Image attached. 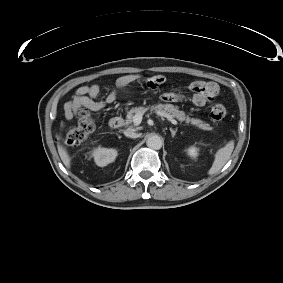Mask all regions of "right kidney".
<instances>
[{
    "instance_id": "ca27d5eb",
    "label": "right kidney",
    "mask_w": 283,
    "mask_h": 283,
    "mask_svg": "<svg viewBox=\"0 0 283 283\" xmlns=\"http://www.w3.org/2000/svg\"><path fill=\"white\" fill-rule=\"evenodd\" d=\"M92 155L95 163L100 167H104L115 160L117 151L115 149L98 147L93 151Z\"/></svg>"
}]
</instances>
